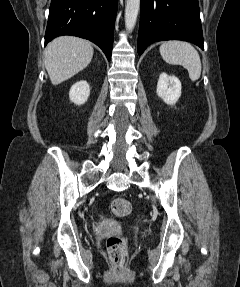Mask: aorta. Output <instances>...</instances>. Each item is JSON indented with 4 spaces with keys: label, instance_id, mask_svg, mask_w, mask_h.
I'll return each instance as SVG.
<instances>
[{
    "label": "aorta",
    "instance_id": "obj_1",
    "mask_svg": "<svg viewBox=\"0 0 240 287\" xmlns=\"http://www.w3.org/2000/svg\"><path fill=\"white\" fill-rule=\"evenodd\" d=\"M140 8V0H126L125 5V27L128 32H132L136 25Z\"/></svg>",
    "mask_w": 240,
    "mask_h": 287
}]
</instances>
